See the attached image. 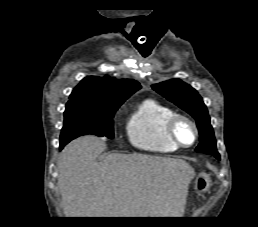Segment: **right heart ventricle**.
<instances>
[{
  "label": "right heart ventricle",
  "instance_id": "1",
  "mask_svg": "<svg viewBox=\"0 0 258 227\" xmlns=\"http://www.w3.org/2000/svg\"><path fill=\"white\" fill-rule=\"evenodd\" d=\"M174 114L169 107L155 99L140 102L128 118L127 133L130 143L137 149L152 153H172L178 146L166 134L167 120Z\"/></svg>",
  "mask_w": 258,
  "mask_h": 227
}]
</instances>
